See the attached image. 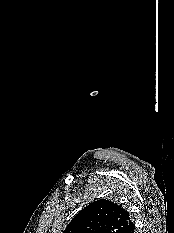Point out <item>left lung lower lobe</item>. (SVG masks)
<instances>
[{
	"label": "left lung lower lobe",
	"mask_w": 174,
	"mask_h": 233,
	"mask_svg": "<svg viewBox=\"0 0 174 233\" xmlns=\"http://www.w3.org/2000/svg\"><path fill=\"white\" fill-rule=\"evenodd\" d=\"M135 225L132 223L130 226H128L123 233H135Z\"/></svg>",
	"instance_id": "obj_1"
}]
</instances>
